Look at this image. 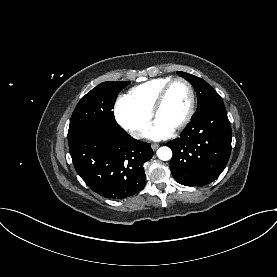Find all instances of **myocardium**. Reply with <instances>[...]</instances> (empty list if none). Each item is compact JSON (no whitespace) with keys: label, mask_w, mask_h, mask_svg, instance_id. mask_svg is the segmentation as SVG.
Returning a JSON list of instances; mask_svg holds the SVG:
<instances>
[{"label":"myocardium","mask_w":277,"mask_h":277,"mask_svg":"<svg viewBox=\"0 0 277 277\" xmlns=\"http://www.w3.org/2000/svg\"><path fill=\"white\" fill-rule=\"evenodd\" d=\"M178 82L185 84L186 87L188 88V91L190 94V104H189L188 112H187L186 116L184 117V119L181 121V123L178 126H176L173 129V131H175V132H179V131L183 130L190 123V121L195 113L196 95H195V91H194L192 84L188 80H186L185 78H182V77H176V78L171 79L159 92L158 96L156 97V99L154 101L151 112H150L152 118L154 120H156L157 115L165 102V99L167 97V94H168L170 88L175 83H178Z\"/></svg>","instance_id":"obj_1"}]
</instances>
